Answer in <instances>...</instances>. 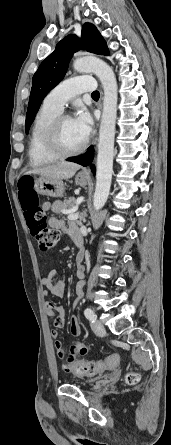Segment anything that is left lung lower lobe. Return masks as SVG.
<instances>
[{"label": "left lung lower lobe", "instance_id": "obj_1", "mask_svg": "<svg viewBox=\"0 0 171 445\" xmlns=\"http://www.w3.org/2000/svg\"><path fill=\"white\" fill-rule=\"evenodd\" d=\"M94 157V147L90 146L89 149L82 155L68 158V161L76 162L78 164H81L82 166H88ZM91 169L93 173H95V167L94 165L91 166Z\"/></svg>", "mask_w": 171, "mask_h": 445}]
</instances>
